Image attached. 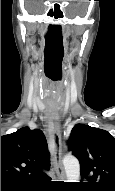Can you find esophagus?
I'll use <instances>...</instances> for the list:
<instances>
[{
    "instance_id": "34e87169",
    "label": "esophagus",
    "mask_w": 115,
    "mask_h": 191,
    "mask_svg": "<svg viewBox=\"0 0 115 191\" xmlns=\"http://www.w3.org/2000/svg\"><path fill=\"white\" fill-rule=\"evenodd\" d=\"M48 127L50 142L52 145V165L55 169L57 177L60 180H65V172L62 164V142L59 124L56 121L55 114L51 111L49 112Z\"/></svg>"
}]
</instances>
